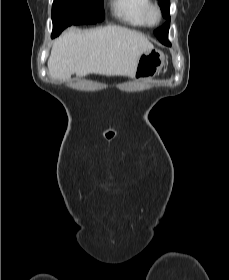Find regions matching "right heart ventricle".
<instances>
[{
	"label": "right heart ventricle",
	"mask_w": 229,
	"mask_h": 280,
	"mask_svg": "<svg viewBox=\"0 0 229 280\" xmlns=\"http://www.w3.org/2000/svg\"><path fill=\"white\" fill-rule=\"evenodd\" d=\"M150 0H112L113 15L122 23L133 27L148 26L145 20V11Z\"/></svg>",
	"instance_id": "1"
}]
</instances>
